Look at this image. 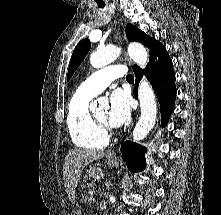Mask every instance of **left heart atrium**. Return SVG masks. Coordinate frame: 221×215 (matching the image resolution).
Segmentation results:
<instances>
[{"label": "left heart atrium", "mask_w": 221, "mask_h": 215, "mask_svg": "<svg viewBox=\"0 0 221 215\" xmlns=\"http://www.w3.org/2000/svg\"><path fill=\"white\" fill-rule=\"evenodd\" d=\"M131 114L130 99L122 89L114 90L110 95L108 122L112 127H120L128 121Z\"/></svg>", "instance_id": "1"}]
</instances>
